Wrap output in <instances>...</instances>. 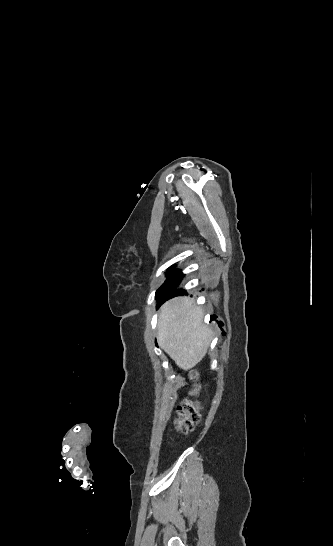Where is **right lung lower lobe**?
I'll return each instance as SVG.
<instances>
[{
	"mask_svg": "<svg viewBox=\"0 0 333 546\" xmlns=\"http://www.w3.org/2000/svg\"><path fill=\"white\" fill-rule=\"evenodd\" d=\"M183 277L184 274L180 270H175L174 268L167 273V280L156 291V297L158 300H160L161 297L163 298L160 304L172 297L186 294L185 290L183 289L176 290L177 285L180 283Z\"/></svg>",
	"mask_w": 333,
	"mask_h": 546,
	"instance_id": "obj_1",
	"label": "right lung lower lobe"
}]
</instances>
